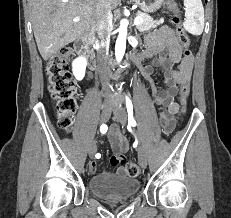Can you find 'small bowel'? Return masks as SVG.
Wrapping results in <instances>:
<instances>
[{"instance_id": "obj_1", "label": "small bowel", "mask_w": 231, "mask_h": 218, "mask_svg": "<svg viewBox=\"0 0 231 218\" xmlns=\"http://www.w3.org/2000/svg\"><path fill=\"white\" fill-rule=\"evenodd\" d=\"M137 58H150L151 62L142 68V75L151 86L152 100L164 110L160 114V123L165 134H170L175 127V115L179 110L178 103L174 100L178 86L190 82L193 67V56L186 54L178 43L173 30L164 26L146 38V50ZM156 69L165 70L163 82L165 88L158 90L152 75ZM109 142L114 156L111 157V166L116 168V174L124 176L126 169L122 164L126 161L129 146L127 140L121 135L118 127L114 126L109 131ZM91 173L97 171V163L90 162Z\"/></svg>"}]
</instances>
